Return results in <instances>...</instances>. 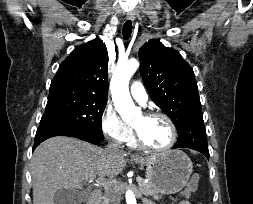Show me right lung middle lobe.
Listing matches in <instances>:
<instances>
[{
    "mask_svg": "<svg viewBox=\"0 0 253 204\" xmlns=\"http://www.w3.org/2000/svg\"><path fill=\"white\" fill-rule=\"evenodd\" d=\"M107 99L71 87H50L40 125L80 130L103 140L101 119Z\"/></svg>",
    "mask_w": 253,
    "mask_h": 204,
    "instance_id": "obj_1",
    "label": "right lung middle lobe"
}]
</instances>
